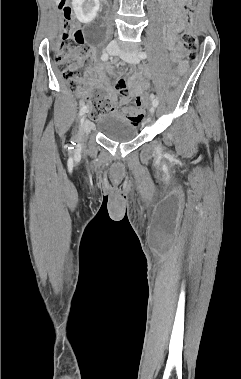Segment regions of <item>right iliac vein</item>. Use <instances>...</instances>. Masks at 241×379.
Instances as JSON below:
<instances>
[{
  "instance_id": "obj_1",
  "label": "right iliac vein",
  "mask_w": 241,
  "mask_h": 379,
  "mask_svg": "<svg viewBox=\"0 0 241 379\" xmlns=\"http://www.w3.org/2000/svg\"><path fill=\"white\" fill-rule=\"evenodd\" d=\"M107 51L111 55H116L118 52L117 44L114 42L109 43L107 46ZM90 130H91L90 122L88 120H86V116L83 115L81 120H80V130H79L78 137H77V141L80 144L83 143L85 136L90 132Z\"/></svg>"
}]
</instances>
